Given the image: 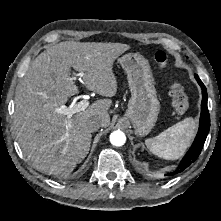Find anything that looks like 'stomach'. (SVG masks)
I'll return each instance as SVG.
<instances>
[{
	"label": "stomach",
	"mask_w": 221,
	"mask_h": 221,
	"mask_svg": "<svg viewBox=\"0 0 221 221\" xmlns=\"http://www.w3.org/2000/svg\"><path fill=\"white\" fill-rule=\"evenodd\" d=\"M119 63L127 74L131 91L125 115L132 122L135 134L145 136L155 126L160 110L149 62L139 53H128Z\"/></svg>",
	"instance_id": "0dacf381"
}]
</instances>
